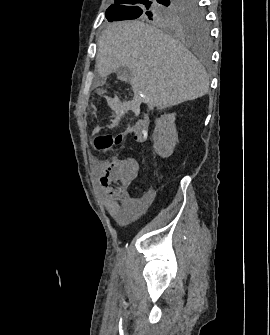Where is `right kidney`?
Returning <instances> with one entry per match:
<instances>
[{
  "instance_id": "ca27d5eb",
  "label": "right kidney",
  "mask_w": 270,
  "mask_h": 335,
  "mask_svg": "<svg viewBox=\"0 0 270 335\" xmlns=\"http://www.w3.org/2000/svg\"><path fill=\"white\" fill-rule=\"evenodd\" d=\"M176 114H165L155 120L153 132L154 150L161 158H169L178 142L175 122Z\"/></svg>"
}]
</instances>
